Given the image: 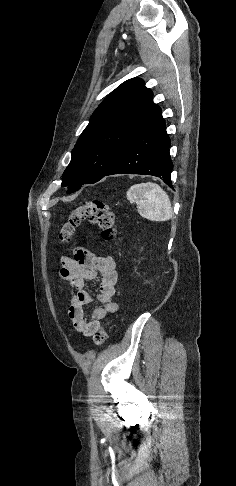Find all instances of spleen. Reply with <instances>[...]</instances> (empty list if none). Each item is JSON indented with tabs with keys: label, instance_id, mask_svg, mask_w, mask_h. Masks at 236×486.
Listing matches in <instances>:
<instances>
[{
	"label": "spleen",
	"instance_id": "obj_1",
	"mask_svg": "<svg viewBox=\"0 0 236 486\" xmlns=\"http://www.w3.org/2000/svg\"><path fill=\"white\" fill-rule=\"evenodd\" d=\"M127 199L137 204L138 212L151 221H166L173 215L167 193L157 184H135L127 191Z\"/></svg>",
	"mask_w": 236,
	"mask_h": 486
}]
</instances>
